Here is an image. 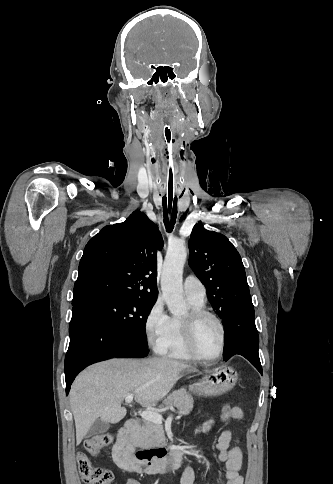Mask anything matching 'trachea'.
<instances>
[{
    "label": "trachea",
    "instance_id": "1",
    "mask_svg": "<svg viewBox=\"0 0 333 484\" xmlns=\"http://www.w3.org/2000/svg\"><path fill=\"white\" fill-rule=\"evenodd\" d=\"M175 134L170 128H165L161 133L162 143L160 151L163 154L164 164V192H163V217L164 225L168 232H172L177 218V193L178 172L176 170L177 157L174 151Z\"/></svg>",
    "mask_w": 333,
    "mask_h": 484
}]
</instances>
